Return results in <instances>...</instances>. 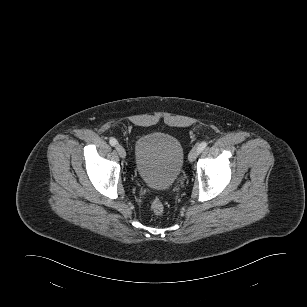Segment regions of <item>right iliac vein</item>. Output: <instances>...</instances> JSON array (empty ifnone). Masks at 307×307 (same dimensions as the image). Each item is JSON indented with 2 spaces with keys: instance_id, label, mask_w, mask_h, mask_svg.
Returning <instances> with one entry per match:
<instances>
[{
  "instance_id": "1",
  "label": "right iliac vein",
  "mask_w": 307,
  "mask_h": 307,
  "mask_svg": "<svg viewBox=\"0 0 307 307\" xmlns=\"http://www.w3.org/2000/svg\"><path fill=\"white\" fill-rule=\"evenodd\" d=\"M116 150H117V152H118V154H119V156H120L121 158H125V156H126V151H125V149L123 148L122 145H117V146H116Z\"/></svg>"
}]
</instances>
